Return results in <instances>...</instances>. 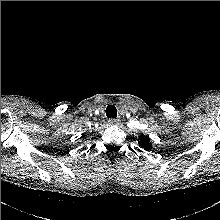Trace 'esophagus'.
Returning a JSON list of instances; mask_svg holds the SVG:
<instances>
[{"label": "esophagus", "instance_id": "obj_1", "mask_svg": "<svg viewBox=\"0 0 220 220\" xmlns=\"http://www.w3.org/2000/svg\"><path fill=\"white\" fill-rule=\"evenodd\" d=\"M108 123L110 125H119L120 124V120L119 119H109Z\"/></svg>", "mask_w": 220, "mask_h": 220}]
</instances>
